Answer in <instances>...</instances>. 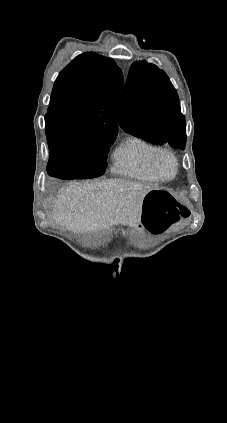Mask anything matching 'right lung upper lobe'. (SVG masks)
Wrapping results in <instances>:
<instances>
[{
  "label": "right lung upper lobe",
  "instance_id": "cb5924a9",
  "mask_svg": "<svg viewBox=\"0 0 227 423\" xmlns=\"http://www.w3.org/2000/svg\"><path fill=\"white\" fill-rule=\"evenodd\" d=\"M122 86L123 74L113 59L94 52L77 56L54 83L45 116L47 141L116 136Z\"/></svg>",
  "mask_w": 227,
  "mask_h": 423
}]
</instances>
